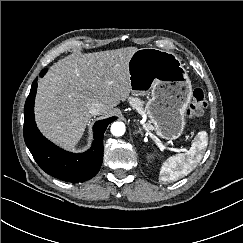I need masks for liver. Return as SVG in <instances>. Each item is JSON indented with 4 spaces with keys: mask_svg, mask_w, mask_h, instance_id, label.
Masks as SVG:
<instances>
[{
    "mask_svg": "<svg viewBox=\"0 0 243 243\" xmlns=\"http://www.w3.org/2000/svg\"><path fill=\"white\" fill-rule=\"evenodd\" d=\"M136 47L68 56L55 63L39 81L35 119L54 143L72 149L92 117L89 105L104 104L109 116L131 92L129 60Z\"/></svg>",
    "mask_w": 243,
    "mask_h": 243,
    "instance_id": "liver-1",
    "label": "liver"
}]
</instances>
